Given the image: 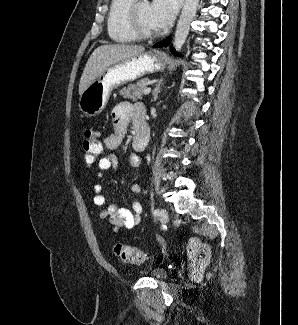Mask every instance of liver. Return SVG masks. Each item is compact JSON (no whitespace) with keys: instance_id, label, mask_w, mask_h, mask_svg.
Returning <instances> with one entry per match:
<instances>
[{"instance_id":"liver-1","label":"liver","mask_w":298,"mask_h":325,"mask_svg":"<svg viewBox=\"0 0 298 325\" xmlns=\"http://www.w3.org/2000/svg\"><path fill=\"white\" fill-rule=\"evenodd\" d=\"M145 52V46L137 44H101L91 52L80 76L78 94H82L85 88L94 82L97 76H101L109 64H115L119 60L131 58Z\"/></svg>"}]
</instances>
